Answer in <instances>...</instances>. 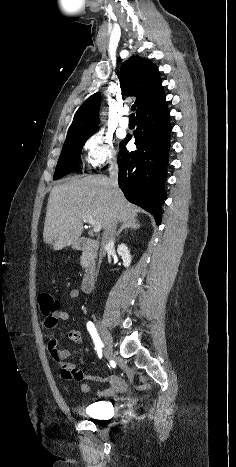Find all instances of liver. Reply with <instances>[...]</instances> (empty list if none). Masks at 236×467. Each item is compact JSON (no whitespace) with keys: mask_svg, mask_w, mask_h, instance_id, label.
<instances>
[{"mask_svg":"<svg viewBox=\"0 0 236 467\" xmlns=\"http://www.w3.org/2000/svg\"><path fill=\"white\" fill-rule=\"evenodd\" d=\"M137 212L121 190L113 188L109 178L102 175L71 178L50 192L43 239L54 250H61L81 236L87 217L105 230L111 222L136 220Z\"/></svg>","mask_w":236,"mask_h":467,"instance_id":"6515ba94","label":"liver"}]
</instances>
